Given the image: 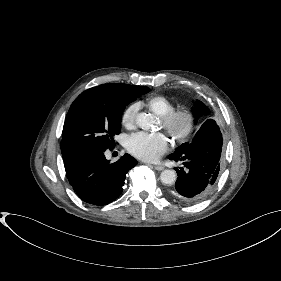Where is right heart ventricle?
<instances>
[{"label":"right heart ventricle","instance_id":"right-heart-ventricle-1","mask_svg":"<svg viewBox=\"0 0 281 281\" xmlns=\"http://www.w3.org/2000/svg\"><path fill=\"white\" fill-rule=\"evenodd\" d=\"M143 104L159 117L175 109V103L164 95L151 96L147 98Z\"/></svg>","mask_w":281,"mask_h":281}]
</instances>
